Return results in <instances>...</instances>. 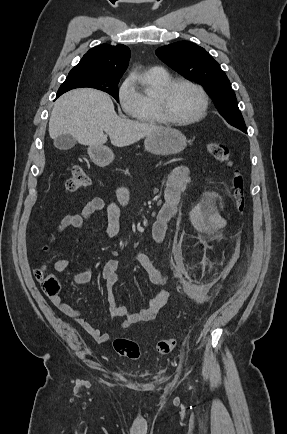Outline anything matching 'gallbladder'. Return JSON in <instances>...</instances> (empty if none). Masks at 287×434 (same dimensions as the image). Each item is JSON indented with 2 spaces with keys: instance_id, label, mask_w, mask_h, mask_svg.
<instances>
[{
  "instance_id": "gallbladder-1",
  "label": "gallbladder",
  "mask_w": 287,
  "mask_h": 434,
  "mask_svg": "<svg viewBox=\"0 0 287 434\" xmlns=\"http://www.w3.org/2000/svg\"><path fill=\"white\" fill-rule=\"evenodd\" d=\"M77 140L71 135H61L54 139V146L60 150H68L73 148Z\"/></svg>"
}]
</instances>
